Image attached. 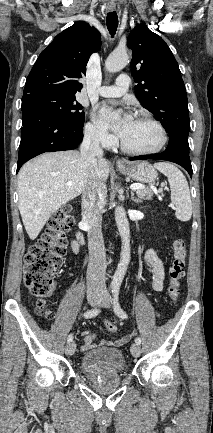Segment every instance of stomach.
Returning a JSON list of instances; mask_svg holds the SVG:
<instances>
[{
	"mask_svg": "<svg viewBox=\"0 0 213 433\" xmlns=\"http://www.w3.org/2000/svg\"><path fill=\"white\" fill-rule=\"evenodd\" d=\"M119 171L135 181L154 184L157 178L156 170L147 162H136L118 167Z\"/></svg>",
	"mask_w": 213,
	"mask_h": 433,
	"instance_id": "1",
	"label": "stomach"
}]
</instances>
